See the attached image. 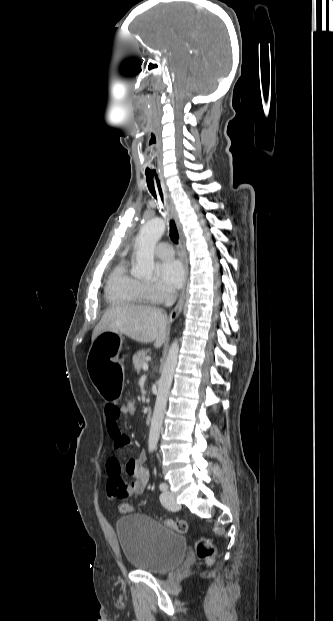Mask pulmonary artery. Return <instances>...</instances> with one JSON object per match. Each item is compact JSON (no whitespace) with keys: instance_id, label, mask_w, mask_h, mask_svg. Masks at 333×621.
<instances>
[{"instance_id":"obj_1","label":"pulmonary artery","mask_w":333,"mask_h":621,"mask_svg":"<svg viewBox=\"0 0 333 621\" xmlns=\"http://www.w3.org/2000/svg\"><path fill=\"white\" fill-rule=\"evenodd\" d=\"M156 255L162 259H171L174 255L173 248L168 242H160L155 249Z\"/></svg>"}]
</instances>
